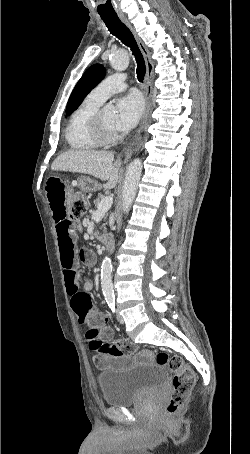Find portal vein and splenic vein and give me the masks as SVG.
<instances>
[{"label": "portal vein and splenic vein", "instance_id": "18ae733b", "mask_svg": "<svg viewBox=\"0 0 250 454\" xmlns=\"http://www.w3.org/2000/svg\"><path fill=\"white\" fill-rule=\"evenodd\" d=\"M113 204V196H106L104 197L97 205V210L94 213L95 215L99 216L105 214Z\"/></svg>", "mask_w": 250, "mask_h": 454}]
</instances>
